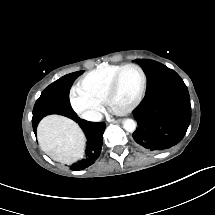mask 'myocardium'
<instances>
[{"mask_svg": "<svg viewBox=\"0 0 215 215\" xmlns=\"http://www.w3.org/2000/svg\"><path fill=\"white\" fill-rule=\"evenodd\" d=\"M124 69H133L138 75V83L133 97H131L129 94L122 95L121 93L116 92L120 80L123 77ZM115 71L116 74L114 80L112 82L111 88L107 90L102 108L106 110L111 108L110 110L112 114L122 116L131 113L136 109V106L141 100L143 94L146 78L143 70L134 63H124L118 65V68Z\"/></svg>", "mask_w": 215, "mask_h": 215, "instance_id": "f54148a6", "label": "myocardium"}]
</instances>
